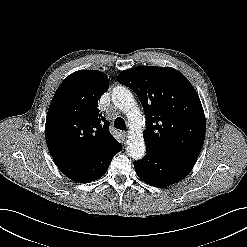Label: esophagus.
I'll use <instances>...</instances> for the list:
<instances>
[{"mask_svg": "<svg viewBox=\"0 0 247 247\" xmlns=\"http://www.w3.org/2000/svg\"><path fill=\"white\" fill-rule=\"evenodd\" d=\"M121 135H122V137L124 139H126L127 138V135H128V132L127 131H123V132H121Z\"/></svg>", "mask_w": 247, "mask_h": 247, "instance_id": "esophagus-1", "label": "esophagus"}]
</instances>
